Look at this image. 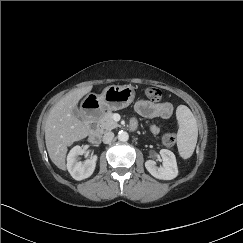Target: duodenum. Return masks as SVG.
I'll list each match as a JSON object with an SVG mask.
<instances>
[{"instance_id": "duodenum-1", "label": "duodenum", "mask_w": 243, "mask_h": 243, "mask_svg": "<svg viewBox=\"0 0 243 243\" xmlns=\"http://www.w3.org/2000/svg\"><path fill=\"white\" fill-rule=\"evenodd\" d=\"M101 133L98 130V125L95 122L89 124L88 140L91 144L98 145L101 143Z\"/></svg>"}]
</instances>
